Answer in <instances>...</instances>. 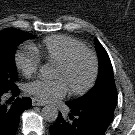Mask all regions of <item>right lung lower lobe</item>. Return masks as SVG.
I'll return each instance as SVG.
<instances>
[{"mask_svg": "<svg viewBox=\"0 0 135 135\" xmlns=\"http://www.w3.org/2000/svg\"><path fill=\"white\" fill-rule=\"evenodd\" d=\"M11 93L17 96L20 91L15 88ZM5 97V93H0V135H15L20 115L31 107L32 101L30 98H24L11 103L13 98L5 102Z\"/></svg>", "mask_w": 135, "mask_h": 135, "instance_id": "right-lung-lower-lobe-1", "label": "right lung lower lobe"}]
</instances>
